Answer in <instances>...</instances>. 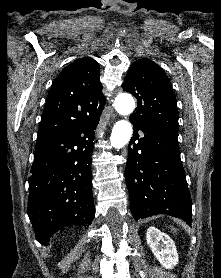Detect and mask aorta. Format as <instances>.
Wrapping results in <instances>:
<instances>
[{"mask_svg":"<svg viewBox=\"0 0 221 278\" xmlns=\"http://www.w3.org/2000/svg\"><path fill=\"white\" fill-rule=\"evenodd\" d=\"M114 107L119 114L126 116L134 111L135 101L131 95L122 93L116 97ZM131 135L132 125L129 121L120 120L116 122L110 137L112 146L117 149L122 148L129 142Z\"/></svg>","mask_w":221,"mask_h":278,"instance_id":"1","label":"aorta"}]
</instances>
